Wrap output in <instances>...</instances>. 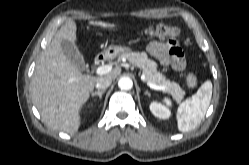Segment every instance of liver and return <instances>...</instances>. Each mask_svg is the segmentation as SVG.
Listing matches in <instances>:
<instances>
[{
	"mask_svg": "<svg viewBox=\"0 0 249 165\" xmlns=\"http://www.w3.org/2000/svg\"><path fill=\"white\" fill-rule=\"evenodd\" d=\"M89 24L115 27L114 24L102 21H89ZM76 30L73 20L67 21L58 30L38 59L31 81L33 103L43 121L49 127L67 133H74L79 129V111L88 101L99 78L115 79L121 73V68H115L104 76L82 74L62 50L63 40L75 44Z\"/></svg>",
	"mask_w": 249,
	"mask_h": 165,
	"instance_id": "liver-1",
	"label": "liver"
}]
</instances>
